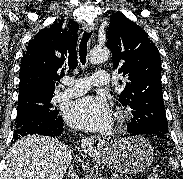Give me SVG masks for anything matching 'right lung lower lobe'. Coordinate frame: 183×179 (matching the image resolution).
<instances>
[{"instance_id":"1","label":"right lung lower lobe","mask_w":183,"mask_h":179,"mask_svg":"<svg viewBox=\"0 0 183 179\" xmlns=\"http://www.w3.org/2000/svg\"><path fill=\"white\" fill-rule=\"evenodd\" d=\"M62 131H63V122L61 117H58L57 119L49 122L33 121L15 130L14 140L16 141L28 134H41L56 137L60 136L62 134Z\"/></svg>"}]
</instances>
